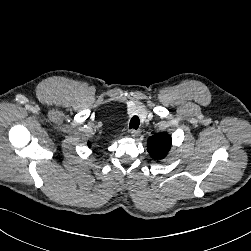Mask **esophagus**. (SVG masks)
<instances>
[{
	"instance_id": "esophagus-1",
	"label": "esophagus",
	"mask_w": 251,
	"mask_h": 251,
	"mask_svg": "<svg viewBox=\"0 0 251 251\" xmlns=\"http://www.w3.org/2000/svg\"><path fill=\"white\" fill-rule=\"evenodd\" d=\"M140 135V131L138 130H131V136L132 137H138Z\"/></svg>"
}]
</instances>
